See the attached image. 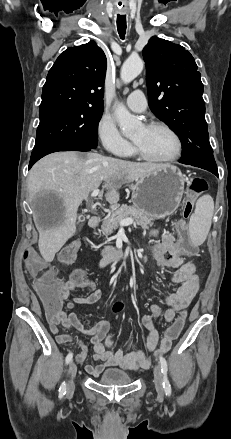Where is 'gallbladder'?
I'll return each mask as SVG.
<instances>
[{
  "label": "gallbladder",
  "mask_w": 231,
  "mask_h": 439,
  "mask_svg": "<svg viewBox=\"0 0 231 439\" xmlns=\"http://www.w3.org/2000/svg\"><path fill=\"white\" fill-rule=\"evenodd\" d=\"M85 220V217L84 216H79V221H84Z\"/></svg>",
  "instance_id": "obj_1"
}]
</instances>
